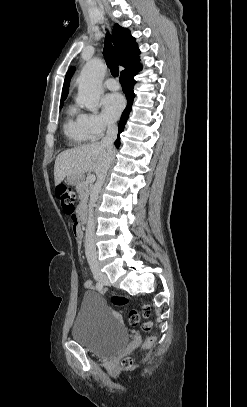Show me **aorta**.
Listing matches in <instances>:
<instances>
[{"label": "aorta", "instance_id": "762f6f07", "mask_svg": "<svg viewBox=\"0 0 247 407\" xmlns=\"http://www.w3.org/2000/svg\"><path fill=\"white\" fill-rule=\"evenodd\" d=\"M106 65L100 59H93L85 64L78 77L77 102L91 112L99 109L102 94V81L106 73Z\"/></svg>", "mask_w": 247, "mask_h": 407}]
</instances>
